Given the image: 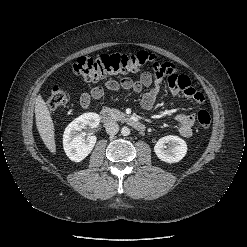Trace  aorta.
I'll return each instance as SVG.
<instances>
[{
	"label": "aorta",
	"instance_id": "762f6f07",
	"mask_svg": "<svg viewBox=\"0 0 247 247\" xmlns=\"http://www.w3.org/2000/svg\"><path fill=\"white\" fill-rule=\"evenodd\" d=\"M121 134L123 136H128L130 134V129L127 126L122 127Z\"/></svg>",
	"mask_w": 247,
	"mask_h": 247
}]
</instances>
